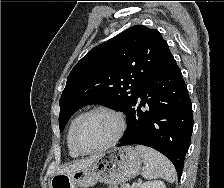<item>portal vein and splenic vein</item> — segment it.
Here are the masks:
<instances>
[{
    "label": "portal vein and splenic vein",
    "instance_id": "1",
    "mask_svg": "<svg viewBox=\"0 0 224 188\" xmlns=\"http://www.w3.org/2000/svg\"><path fill=\"white\" fill-rule=\"evenodd\" d=\"M127 188H134V186L132 185H129V184H127Z\"/></svg>",
    "mask_w": 224,
    "mask_h": 188
}]
</instances>
